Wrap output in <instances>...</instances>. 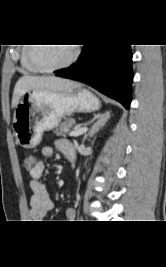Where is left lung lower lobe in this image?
Wrapping results in <instances>:
<instances>
[{
  "instance_id": "left-lung-lower-lobe-1",
  "label": "left lung lower lobe",
  "mask_w": 166,
  "mask_h": 267,
  "mask_svg": "<svg viewBox=\"0 0 166 267\" xmlns=\"http://www.w3.org/2000/svg\"><path fill=\"white\" fill-rule=\"evenodd\" d=\"M79 59L76 65L54 73L88 84L129 109L133 79L130 45H84Z\"/></svg>"
}]
</instances>
